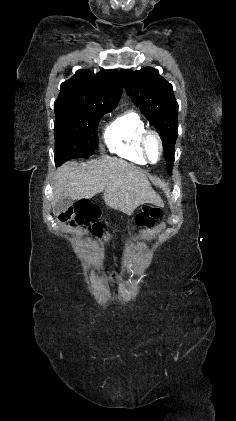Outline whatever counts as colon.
Wrapping results in <instances>:
<instances>
[{"label": "colon", "mask_w": 236, "mask_h": 421, "mask_svg": "<svg viewBox=\"0 0 236 421\" xmlns=\"http://www.w3.org/2000/svg\"><path fill=\"white\" fill-rule=\"evenodd\" d=\"M160 216V208L145 205L138 213L136 222L140 227L150 228ZM60 218L63 221H69L71 224L85 223V225L90 227L94 235L98 236L101 233V224L96 220V212L85 204L63 213Z\"/></svg>", "instance_id": "5ec220e1"}]
</instances>
